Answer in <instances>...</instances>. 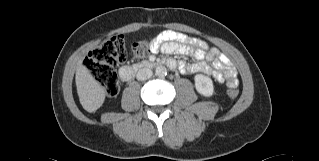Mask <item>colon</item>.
I'll return each mask as SVG.
<instances>
[{
    "label": "colon",
    "mask_w": 319,
    "mask_h": 161,
    "mask_svg": "<svg viewBox=\"0 0 319 161\" xmlns=\"http://www.w3.org/2000/svg\"><path fill=\"white\" fill-rule=\"evenodd\" d=\"M154 40H139L135 42L132 46L134 57L136 59L145 57ZM126 54L127 49L123 36L113 35L88 55L87 67L92 77L102 86L107 96H114L119 91L116 66L125 60ZM238 93L237 85H228L227 94L229 97L235 98Z\"/></svg>",
    "instance_id": "colon-1"
}]
</instances>
